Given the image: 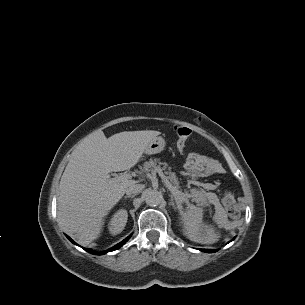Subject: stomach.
Here are the masks:
<instances>
[{
  "mask_svg": "<svg viewBox=\"0 0 305 305\" xmlns=\"http://www.w3.org/2000/svg\"><path fill=\"white\" fill-rule=\"evenodd\" d=\"M166 146V142L164 138L161 136L154 138L152 141H150L145 150L144 153L147 155L157 154L164 150Z\"/></svg>",
  "mask_w": 305,
  "mask_h": 305,
  "instance_id": "obj_1",
  "label": "stomach"
}]
</instances>
